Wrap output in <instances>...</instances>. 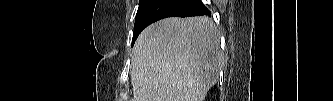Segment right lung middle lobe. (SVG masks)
I'll list each match as a JSON object with an SVG mask.
<instances>
[{"label": "right lung middle lobe", "mask_w": 333, "mask_h": 101, "mask_svg": "<svg viewBox=\"0 0 333 101\" xmlns=\"http://www.w3.org/2000/svg\"><path fill=\"white\" fill-rule=\"evenodd\" d=\"M147 0H140L139 7L144 4Z\"/></svg>", "instance_id": "dd1d6c3e"}]
</instances>
